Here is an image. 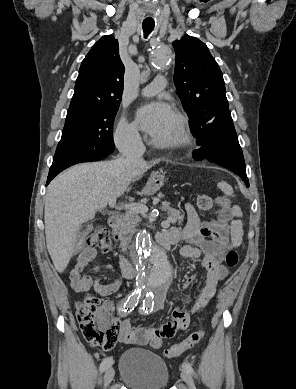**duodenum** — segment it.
Masks as SVG:
<instances>
[{"label":"duodenum","mask_w":296,"mask_h":389,"mask_svg":"<svg viewBox=\"0 0 296 389\" xmlns=\"http://www.w3.org/2000/svg\"><path fill=\"white\" fill-rule=\"evenodd\" d=\"M119 223H120V219H119V216L117 214H112L108 219V225L115 233L117 232V229L119 227ZM116 238H117V236H116ZM158 243L165 250H168L172 244L176 243V241L170 236L161 235L160 237H158ZM120 264H121L123 276L127 279L133 278L134 274H135L133 264L125 258L121 259Z\"/></svg>","instance_id":"410a0bca"}]
</instances>
